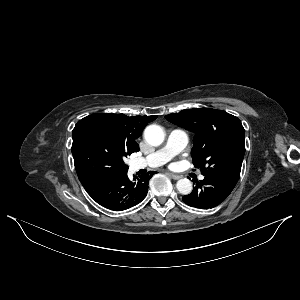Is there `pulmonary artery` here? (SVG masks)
Wrapping results in <instances>:
<instances>
[{
	"label": "pulmonary artery",
	"instance_id": "e3ab8cb5",
	"mask_svg": "<svg viewBox=\"0 0 300 300\" xmlns=\"http://www.w3.org/2000/svg\"><path fill=\"white\" fill-rule=\"evenodd\" d=\"M188 135L184 130L174 129L167 138L166 144L147 157L137 158L131 162L134 171L143 168H155L165 164L171 157L182 151L188 144ZM203 180L204 177L200 176Z\"/></svg>",
	"mask_w": 300,
	"mask_h": 300
}]
</instances>
